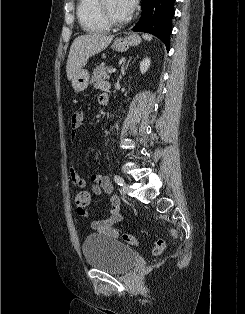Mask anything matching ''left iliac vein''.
<instances>
[{"mask_svg": "<svg viewBox=\"0 0 245 314\" xmlns=\"http://www.w3.org/2000/svg\"><path fill=\"white\" fill-rule=\"evenodd\" d=\"M122 191L124 194H128V192L130 191V186L124 183V185L122 186Z\"/></svg>", "mask_w": 245, "mask_h": 314, "instance_id": "left-iliac-vein-1", "label": "left iliac vein"}]
</instances>
